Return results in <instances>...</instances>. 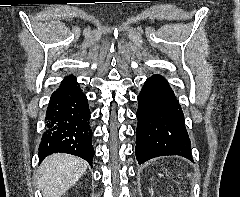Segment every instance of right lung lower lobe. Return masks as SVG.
I'll use <instances>...</instances> for the list:
<instances>
[{"label":"right lung lower lobe","instance_id":"98d812e1","mask_svg":"<svg viewBox=\"0 0 240 197\" xmlns=\"http://www.w3.org/2000/svg\"><path fill=\"white\" fill-rule=\"evenodd\" d=\"M90 110L87 97L76 78L65 77L51 95L45 117V131L39 145V159L53 153H68L85 159L90 165L94 157Z\"/></svg>","mask_w":240,"mask_h":197}]
</instances>
